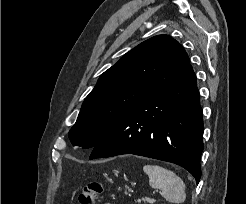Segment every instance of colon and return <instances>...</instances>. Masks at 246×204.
Returning <instances> with one entry per match:
<instances>
[{
    "mask_svg": "<svg viewBox=\"0 0 246 204\" xmlns=\"http://www.w3.org/2000/svg\"><path fill=\"white\" fill-rule=\"evenodd\" d=\"M103 186L97 181L89 182L79 193L78 201L80 204H94L97 197L102 193Z\"/></svg>",
    "mask_w": 246,
    "mask_h": 204,
    "instance_id": "5ec220e1",
    "label": "colon"
}]
</instances>
